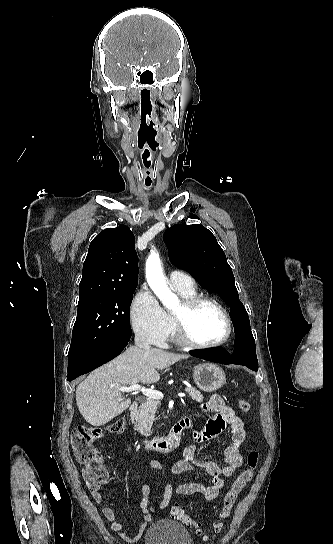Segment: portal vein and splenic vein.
<instances>
[{
  "label": "portal vein and splenic vein",
  "mask_w": 333,
  "mask_h": 544,
  "mask_svg": "<svg viewBox=\"0 0 333 544\" xmlns=\"http://www.w3.org/2000/svg\"><path fill=\"white\" fill-rule=\"evenodd\" d=\"M119 390L122 391V392L140 391L145 396H147L149 398H154V399H162L163 398L162 392L142 387L139 384H135V385H132V386H129V387H120ZM178 396L181 397V398H184V397H186V394L185 393H178Z\"/></svg>",
  "instance_id": "1"
}]
</instances>
